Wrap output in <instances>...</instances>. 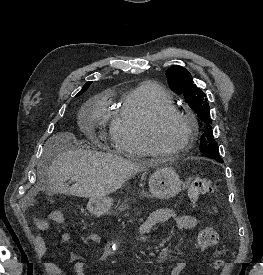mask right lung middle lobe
<instances>
[{
    "label": "right lung middle lobe",
    "instance_id": "dd1d6c3e",
    "mask_svg": "<svg viewBox=\"0 0 263 275\" xmlns=\"http://www.w3.org/2000/svg\"><path fill=\"white\" fill-rule=\"evenodd\" d=\"M87 88H85L84 90H82L80 93H78L77 95L82 94Z\"/></svg>",
    "mask_w": 263,
    "mask_h": 275
}]
</instances>
